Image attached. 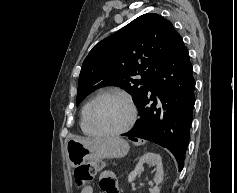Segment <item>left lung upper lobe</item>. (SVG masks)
Returning <instances> with one entry per match:
<instances>
[{"label": "left lung upper lobe", "mask_w": 237, "mask_h": 193, "mask_svg": "<svg viewBox=\"0 0 237 193\" xmlns=\"http://www.w3.org/2000/svg\"><path fill=\"white\" fill-rule=\"evenodd\" d=\"M181 41L162 16H139L92 48L79 75L76 104L94 89L110 85L124 88L139 106L154 76Z\"/></svg>", "instance_id": "obj_1"}]
</instances>
